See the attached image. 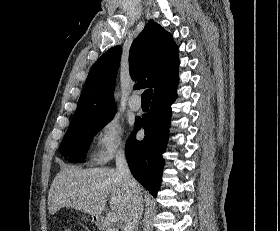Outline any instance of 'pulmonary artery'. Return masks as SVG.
<instances>
[{"label":"pulmonary artery","mask_w":280,"mask_h":231,"mask_svg":"<svg viewBox=\"0 0 280 231\" xmlns=\"http://www.w3.org/2000/svg\"><path fill=\"white\" fill-rule=\"evenodd\" d=\"M136 95L131 96L130 100H129V107L131 110L133 111H138L141 108V104L139 102L135 101Z\"/></svg>","instance_id":"e3ab8cb5"}]
</instances>
